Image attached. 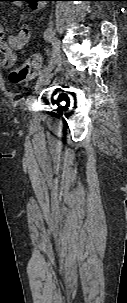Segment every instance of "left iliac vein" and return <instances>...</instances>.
<instances>
[{
  "label": "left iliac vein",
  "instance_id": "4c4485c4",
  "mask_svg": "<svg viewBox=\"0 0 127 303\" xmlns=\"http://www.w3.org/2000/svg\"><path fill=\"white\" fill-rule=\"evenodd\" d=\"M51 45L55 56V63L61 64L62 63V53L59 48V40L57 37H53L51 39ZM53 69V66H50L46 69V71L40 76L37 85H36V92L39 91V89L42 86L48 85L51 81L52 74L51 71Z\"/></svg>",
  "mask_w": 127,
  "mask_h": 303
}]
</instances>
